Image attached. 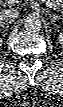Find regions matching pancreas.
<instances>
[{
	"label": "pancreas",
	"mask_w": 63,
	"mask_h": 107,
	"mask_svg": "<svg viewBox=\"0 0 63 107\" xmlns=\"http://www.w3.org/2000/svg\"><path fill=\"white\" fill-rule=\"evenodd\" d=\"M52 2L57 9H61L63 7V1L62 0H52Z\"/></svg>",
	"instance_id": "obj_1"
}]
</instances>
